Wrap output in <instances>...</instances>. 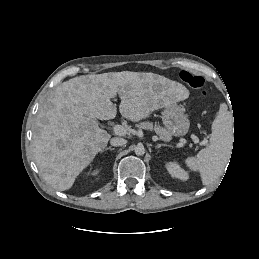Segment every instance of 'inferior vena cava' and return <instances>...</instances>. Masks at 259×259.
<instances>
[{
	"mask_svg": "<svg viewBox=\"0 0 259 259\" xmlns=\"http://www.w3.org/2000/svg\"><path fill=\"white\" fill-rule=\"evenodd\" d=\"M127 143V140L124 138H120V137H114L110 140V144L112 146H123Z\"/></svg>",
	"mask_w": 259,
	"mask_h": 259,
	"instance_id": "1",
	"label": "inferior vena cava"
}]
</instances>
